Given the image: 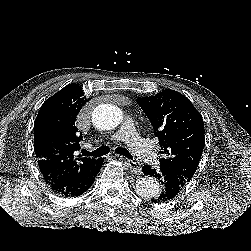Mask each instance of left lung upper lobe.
Masks as SVG:
<instances>
[{"instance_id": "5c2ea615", "label": "left lung upper lobe", "mask_w": 251, "mask_h": 251, "mask_svg": "<svg viewBox=\"0 0 251 251\" xmlns=\"http://www.w3.org/2000/svg\"><path fill=\"white\" fill-rule=\"evenodd\" d=\"M139 106L150 120L159 139L160 167L187 184L194 176L204 149V122L185 96L163 90L152 97H138Z\"/></svg>"}]
</instances>
